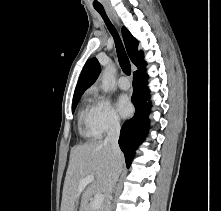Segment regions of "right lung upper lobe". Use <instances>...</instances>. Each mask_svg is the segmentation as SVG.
<instances>
[{
	"instance_id": "1",
	"label": "right lung upper lobe",
	"mask_w": 221,
	"mask_h": 211,
	"mask_svg": "<svg viewBox=\"0 0 221 211\" xmlns=\"http://www.w3.org/2000/svg\"><path fill=\"white\" fill-rule=\"evenodd\" d=\"M122 36L131 61L137 66L138 70L144 68L146 62L143 61V52L138 51V41L124 26L122 27ZM99 73L100 65L98 60L96 58L89 59L81 72L74 97L81 96L96 81Z\"/></svg>"
}]
</instances>
